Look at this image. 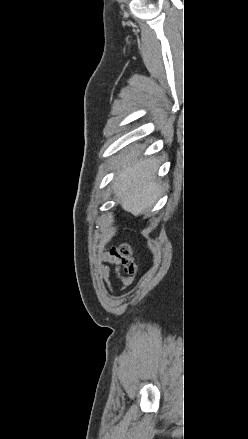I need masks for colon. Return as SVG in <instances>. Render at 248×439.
Instances as JSON below:
<instances>
[{
    "instance_id": "colon-1",
    "label": "colon",
    "mask_w": 248,
    "mask_h": 439,
    "mask_svg": "<svg viewBox=\"0 0 248 439\" xmlns=\"http://www.w3.org/2000/svg\"><path fill=\"white\" fill-rule=\"evenodd\" d=\"M120 251L131 260V258H130L131 252H130V249L128 247H122L120 249Z\"/></svg>"
}]
</instances>
